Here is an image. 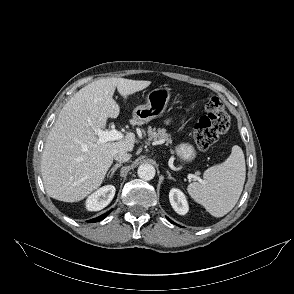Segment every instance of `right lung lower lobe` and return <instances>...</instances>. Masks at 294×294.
Masks as SVG:
<instances>
[{
    "label": "right lung lower lobe",
    "instance_id": "obj_1",
    "mask_svg": "<svg viewBox=\"0 0 294 294\" xmlns=\"http://www.w3.org/2000/svg\"><path fill=\"white\" fill-rule=\"evenodd\" d=\"M110 212H111V211H108L107 213H105V214H103V215H101V216H99V217H97V218H94V219H92V220H90V221H88V222H98V221L104 219V218H105Z\"/></svg>",
    "mask_w": 294,
    "mask_h": 294
}]
</instances>
